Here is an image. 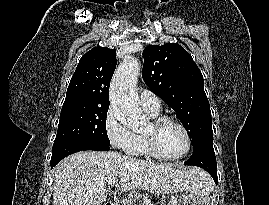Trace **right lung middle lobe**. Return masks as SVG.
I'll return each instance as SVG.
<instances>
[{"label":"right lung middle lobe","instance_id":"1","mask_svg":"<svg viewBox=\"0 0 269 205\" xmlns=\"http://www.w3.org/2000/svg\"><path fill=\"white\" fill-rule=\"evenodd\" d=\"M109 106L70 105L62 107L55 142L80 139L110 145L106 132Z\"/></svg>","mask_w":269,"mask_h":205}]
</instances>
